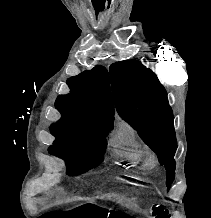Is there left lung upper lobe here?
Here are the masks:
<instances>
[{
    "label": "left lung upper lobe",
    "instance_id": "5c2ea615",
    "mask_svg": "<svg viewBox=\"0 0 211 218\" xmlns=\"http://www.w3.org/2000/svg\"><path fill=\"white\" fill-rule=\"evenodd\" d=\"M113 98L119 115L157 154L166 168L168 189L175 176L177 149L173 113L167 93L156 74L139 61L116 62L110 66Z\"/></svg>",
    "mask_w": 211,
    "mask_h": 218
}]
</instances>
